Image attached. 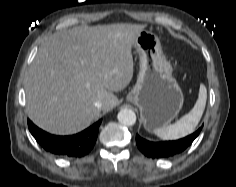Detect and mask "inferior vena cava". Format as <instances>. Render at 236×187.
I'll use <instances>...</instances> for the list:
<instances>
[{"mask_svg":"<svg viewBox=\"0 0 236 187\" xmlns=\"http://www.w3.org/2000/svg\"><path fill=\"white\" fill-rule=\"evenodd\" d=\"M94 106L98 109H101L102 108V103L100 101H97L94 103Z\"/></svg>","mask_w":236,"mask_h":187,"instance_id":"inferior-vena-cava-1","label":"inferior vena cava"}]
</instances>
